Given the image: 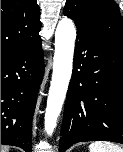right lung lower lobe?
<instances>
[{
	"label": "right lung lower lobe",
	"mask_w": 123,
	"mask_h": 152,
	"mask_svg": "<svg viewBox=\"0 0 123 152\" xmlns=\"http://www.w3.org/2000/svg\"><path fill=\"white\" fill-rule=\"evenodd\" d=\"M43 70L40 39L1 53V144L31 152L32 117Z\"/></svg>",
	"instance_id": "98d812e1"
}]
</instances>
